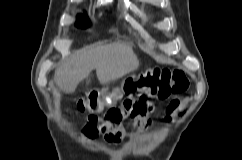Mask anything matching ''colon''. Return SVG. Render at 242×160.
I'll use <instances>...</instances> for the list:
<instances>
[{
  "instance_id": "colon-1",
  "label": "colon",
  "mask_w": 242,
  "mask_h": 160,
  "mask_svg": "<svg viewBox=\"0 0 242 160\" xmlns=\"http://www.w3.org/2000/svg\"><path fill=\"white\" fill-rule=\"evenodd\" d=\"M189 79L181 69L153 68L137 76L127 77L120 85L108 89H92L80 96L74 108L79 112L89 113L83 133L95 137L103 132L108 125L120 123L123 115L133 118L147 117L151 112V98H165L171 94L187 90ZM121 107H117L118 102ZM178 101H173L170 109L177 107ZM105 112L103 116L98 113Z\"/></svg>"
}]
</instances>
